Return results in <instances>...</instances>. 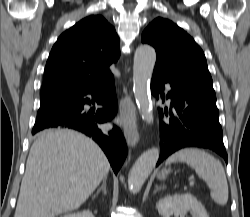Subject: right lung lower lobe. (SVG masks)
<instances>
[{
  "instance_id": "98d812e1",
  "label": "right lung lower lobe",
  "mask_w": 250,
  "mask_h": 217,
  "mask_svg": "<svg viewBox=\"0 0 250 217\" xmlns=\"http://www.w3.org/2000/svg\"><path fill=\"white\" fill-rule=\"evenodd\" d=\"M97 102L102 109L85 111V104ZM117 111V97L113 75L102 83L82 92L65 96L50 104L37 115L32 134L48 128H70L95 140L106 154L115 174L122 166L127 146L116 126L109 132L100 130L97 124L111 121Z\"/></svg>"
}]
</instances>
